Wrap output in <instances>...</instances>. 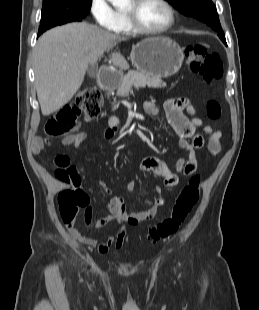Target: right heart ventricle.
<instances>
[{
  "instance_id": "e07e8e85",
  "label": "right heart ventricle",
  "mask_w": 259,
  "mask_h": 310,
  "mask_svg": "<svg viewBox=\"0 0 259 310\" xmlns=\"http://www.w3.org/2000/svg\"><path fill=\"white\" fill-rule=\"evenodd\" d=\"M118 17H119V27L116 30L118 33L121 34H130L132 30L130 29L126 16L124 12H118Z\"/></svg>"
}]
</instances>
